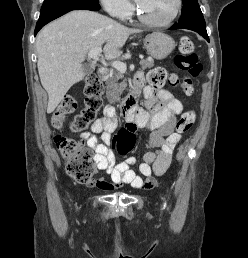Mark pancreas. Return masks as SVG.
I'll return each instance as SVG.
<instances>
[{
    "instance_id": "1",
    "label": "pancreas",
    "mask_w": 248,
    "mask_h": 258,
    "mask_svg": "<svg viewBox=\"0 0 248 258\" xmlns=\"http://www.w3.org/2000/svg\"><path fill=\"white\" fill-rule=\"evenodd\" d=\"M142 69L151 68L154 66L153 59H145L140 61ZM124 76L117 69H113L110 73L109 78L106 80V95L110 101H117L119 96L122 94L125 83H118Z\"/></svg>"
}]
</instances>
